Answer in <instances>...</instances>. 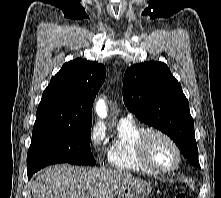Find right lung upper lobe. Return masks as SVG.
<instances>
[{
	"label": "right lung upper lobe",
	"instance_id": "obj_1",
	"mask_svg": "<svg viewBox=\"0 0 221 198\" xmlns=\"http://www.w3.org/2000/svg\"><path fill=\"white\" fill-rule=\"evenodd\" d=\"M105 77V67L98 62L75 59L65 63L42 94L34 126L92 125L93 101Z\"/></svg>",
	"mask_w": 221,
	"mask_h": 198
}]
</instances>
